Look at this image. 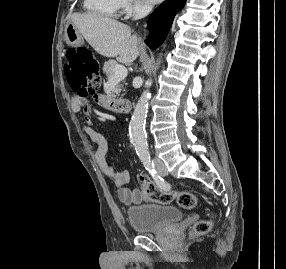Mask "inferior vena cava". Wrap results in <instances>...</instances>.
I'll use <instances>...</instances> for the list:
<instances>
[{
    "instance_id": "602c4592",
    "label": "inferior vena cava",
    "mask_w": 286,
    "mask_h": 269,
    "mask_svg": "<svg viewBox=\"0 0 286 269\" xmlns=\"http://www.w3.org/2000/svg\"><path fill=\"white\" fill-rule=\"evenodd\" d=\"M151 10V6H143L139 7L136 10V14L134 15V20L141 19L145 17Z\"/></svg>"
}]
</instances>
